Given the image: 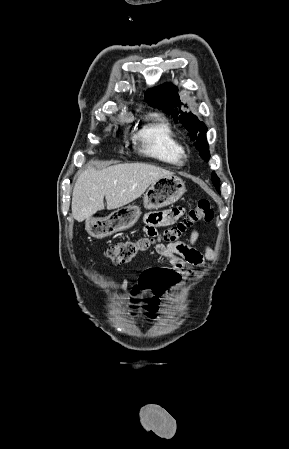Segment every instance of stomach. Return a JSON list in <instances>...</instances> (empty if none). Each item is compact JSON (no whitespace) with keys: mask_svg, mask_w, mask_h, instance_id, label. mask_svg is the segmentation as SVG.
Masks as SVG:
<instances>
[{"mask_svg":"<svg viewBox=\"0 0 289 449\" xmlns=\"http://www.w3.org/2000/svg\"><path fill=\"white\" fill-rule=\"evenodd\" d=\"M185 192V182L182 178L175 175L162 177L147 189L143 199L144 207L151 210L169 206L177 202ZM140 215L138 206L128 205L107 217L89 218L85 228L90 236L101 239L131 228Z\"/></svg>","mask_w":289,"mask_h":449,"instance_id":"0dacf381","label":"stomach"}]
</instances>
